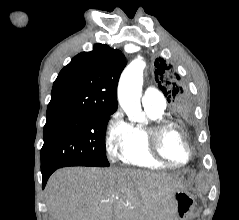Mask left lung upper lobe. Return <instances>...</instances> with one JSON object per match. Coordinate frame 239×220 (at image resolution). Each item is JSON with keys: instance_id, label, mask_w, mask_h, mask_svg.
Here are the masks:
<instances>
[{"instance_id": "left-lung-upper-lobe-1", "label": "left lung upper lobe", "mask_w": 239, "mask_h": 220, "mask_svg": "<svg viewBox=\"0 0 239 220\" xmlns=\"http://www.w3.org/2000/svg\"><path fill=\"white\" fill-rule=\"evenodd\" d=\"M155 67V80L171 104L174 114L182 120L191 121L194 112L192 102L185 89L176 81L180 79L179 75L173 77L172 65L167 64L163 58L156 59Z\"/></svg>"}]
</instances>
